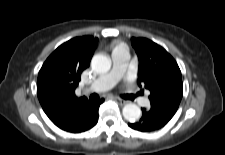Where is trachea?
Returning <instances> with one entry per match:
<instances>
[{
	"mask_svg": "<svg viewBox=\"0 0 225 155\" xmlns=\"http://www.w3.org/2000/svg\"><path fill=\"white\" fill-rule=\"evenodd\" d=\"M98 98L99 96L95 93L90 96V100H97Z\"/></svg>",
	"mask_w": 225,
	"mask_h": 155,
	"instance_id": "3493384b",
	"label": "trachea"
}]
</instances>
